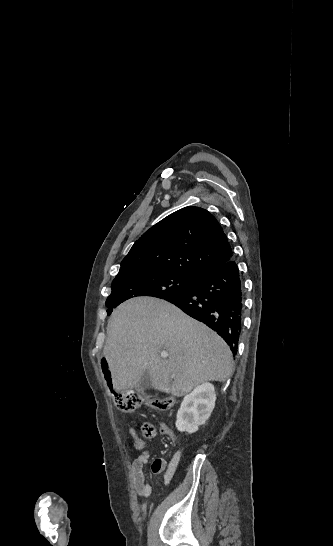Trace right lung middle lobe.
Masks as SVG:
<instances>
[{
	"mask_svg": "<svg viewBox=\"0 0 333 546\" xmlns=\"http://www.w3.org/2000/svg\"><path fill=\"white\" fill-rule=\"evenodd\" d=\"M199 277L174 272H141L136 269L119 271L112 282V292L106 300L107 307L116 308L122 302L136 296L167 298L187 292L198 282ZM112 309L107 310L108 315Z\"/></svg>",
	"mask_w": 333,
	"mask_h": 546,
	"instance_id": "dd1d6c3e",
	"label": "right lung middle lobe"
}]
</instances>
